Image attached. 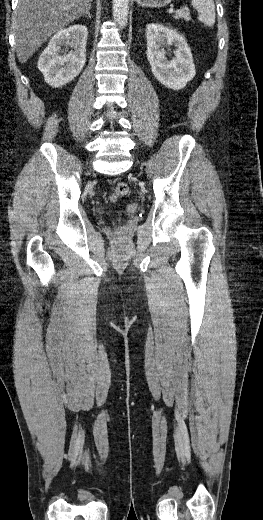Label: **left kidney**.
Listing matches in <instances>:
<instances>
[{
  "mask_svg": "<svg viewBox=\"0 0 263 520\" xmlns=\"http://www.w3.org/2000/svg\"><path fill=\"white\" fill-rule=\"evenodd\" d=\"M146 38V54L154 77L170 89L184 88L196 74L191 50L184 37L174 29L153 23L146 28ZM170 45L177 48L172 60L166 58L164 50Z\"/></svg>",
  "mask_w": 263,
  "mask_h": 520,
  "instance_id": "5707ae66",
  "label": "left kidney"
}]
</instances>
